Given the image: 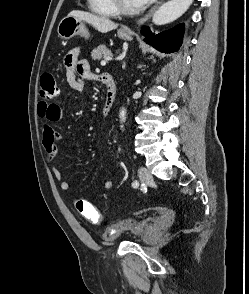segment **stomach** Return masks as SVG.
Instances as JSON below:
<instances>
[{
    "label": "stomach",
    "instance_id": "1",
    "mask_svg": "<svg viewBox=\"0 0 249 294\" xmlns=\"http://www.w3.org/2000/svg\"><path fill=\"white\" fill-rule=\"evenodd\" d=\"M57 33L58 36L63 40H69L76 35H80L84 38L89 37V32L86 29L83 21L70 15H67L60 21L57 28ZM117 35L123 40L132 39V33L125 29H119Z\"/></svg>",
    "mask_w": 249,
    "mask_h": 294
}]
</instances>
